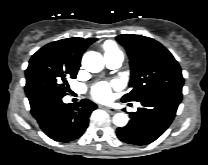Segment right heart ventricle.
<instances>
[{
  "label": "right heart ventricle",
  "mask_w": 208,
  "mask_h": 165,
  "mask_svg": "<svg viewBox=\"0 0 208 165\" xmlns=\"http://www.w3.org/2000/svg\"><path fill=\"white\" fill-rule=\"evenodd\" d=\"M106 53H120L122 52L117 48V46L113 42H107L104 46Z\"/></svg>",
  "instance_id": "obj_1"
}]
</instances>
